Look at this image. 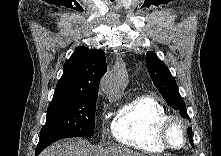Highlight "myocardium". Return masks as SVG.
I'll return each instance as SVG.
<instances>
[{
  "label": "myocardium",
  "instance_id": "myocardium-1",
  "mask_svg": "<svg viewBox=\"0 0 221 156\" xmlns=\"http://www.w3.org/2000/svg\"><path fill=\"white\" fill-rule=\"evenodd\" d=\"M175 122L179 123L182 126L183 132H184L183 142L178 147L173 146L169 140V129H170L171 125ZM188 138H189L188 124L182 117H180L178 115H168L162 121V123L159 127V139L167 149L174 150V151L183 149L188 142Z\"/></svg>",
  "mask_w": 221,
  "mask_h": 156
}]
</instances>
